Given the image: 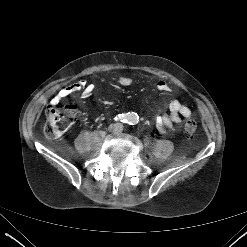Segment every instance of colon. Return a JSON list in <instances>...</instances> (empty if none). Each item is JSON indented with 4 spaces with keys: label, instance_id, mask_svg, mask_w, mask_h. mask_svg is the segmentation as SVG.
<instances>
[{
    "label": "colon",
    "instance_id": "obj_1",
    "mask_svg": "<svg viewBox=\"0 0 247 247\" xmlns=\"http://www.w3.org/2000/svg\"><path fill=\"white\" fill-rule=\"evenodd\" d=\"M46 123L44 133L48 138L54 139L60 137L76 118L77 110L74 105L59 106L51 103L47 106ZM197 130V123L193 119L186 121L184 131L187 135L192 136Z\"/></svg>",
    "mask_w": 247,
    "mask_h": 247
}]
</instances>
